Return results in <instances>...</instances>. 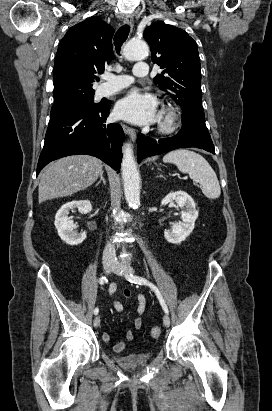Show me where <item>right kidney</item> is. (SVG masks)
<instances>
[{"instance_id":"right-kidney-1","label":"right kidney","mask_w":272,"mask_h":411,"mask_svg":"<svg viewBox=\"0 0 272 411\" xmlns=\"http://www.w3.org/2000/svg\"><path fill=\"white\" fill-rule=\"evenodd\" d=\"M78 208L81 213L92 211V205L88 200L71 201L61 206L55 215V227L60 238L69 245H78L86 238V232L75 230L76 225L68 218L69 211Z\"/></svg>"}]
</instances>
